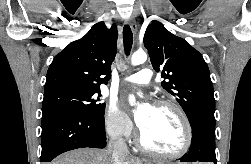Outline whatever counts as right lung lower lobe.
<instances>
[{
    "label": "right lung lower lobe",
    "mask_w": 251,
    "mask_h": 164,
    "mask_svg": "<svg viewBox=\"0 0 251 164\" xmlns=\"http://www.w3.org/2000/svg\"><path fill=\"white\" fill-rule=\"evenodd\" d=\"M104 113L100 116L55 110L42 116L41 162L77 148H104Z\"/></svg>",
    "instance_id": "obj_1"
}]
</instances>
